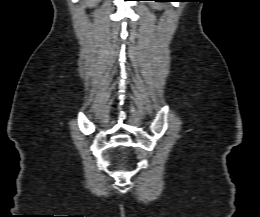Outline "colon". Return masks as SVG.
<instances>
[{
  "instance_id": "colon-1",
  "label": "colon",
  "mask_w": 260,
  "mask_h": 217,
  "mask_svg": "<svg viewBox=\"0 0 260 217\" xmlns=\"http://www.w3.org/2000/svg\"><path fill=\"white\" fill-rule=\"evenodd\" d=\"M122 160H124V156H122Z\"/></svg>"
}]
</instances>
